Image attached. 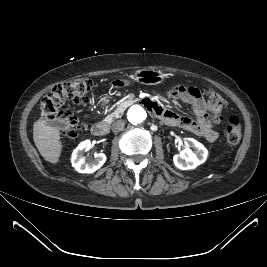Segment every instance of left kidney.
<instances>
[{
	"mask_svg": "<svg viewBox=\"0 0 267 267\" xmlns=\"http://www.w3.org/2000/svg\"><path fill=\"white\" fill-rule=\"evenodd\" d=\"M185 149L173 157V162L178 169L190 170L204 163L207 159V149L193 138H185ZM194 148V151L190 149Z\"/></svg>",
	"mask_w": 267,
	"mask_h": 267,
	"instance_id": "1",
	"label": "left kidney"
}]
</instances>
